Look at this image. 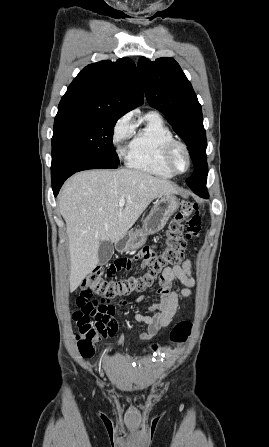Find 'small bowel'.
I'll use <instances>...</instances> for the list:
<instances>
[{"instance_id": "small-bowel-1", "label": "small bowel", "mask_w": 269, "mask_h": 447, "mask_svg": "<svg viewBox=\"0 0 269 447\" xmlns=\"http://www.w3.org/2000/svg\"><path fill=\"white\" fill-rule=\"evenodd\" d=\"M177 281L184 286L180 291L175 286ZM194 285L195 280L192 277V265L189 260L182 265L166 268L163 271L158 288L159 300L149 306L152 315L135 313L133 316L136 321L147 325V330L140 335L142 340H149L170 324L177 312L180 298L190 297ZM142 300L143 298H139L137 302Z\"/></svg>"}]
</instances>
